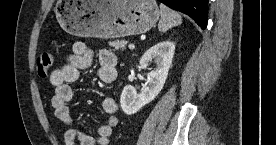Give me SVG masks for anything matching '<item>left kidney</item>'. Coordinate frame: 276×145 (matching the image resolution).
<instances>
[{"mask_svg": "<svg viewBox=\"0 0 276 145\" xmlns=\"http://www.w3.org/2000/svg\"><path fill=\"white\" fill-rule=\"evenodd\" d=\"M175 53V44L171 41H162L149 48L141 57V68L147 67L152 61L156 66L150 73L147 85L138 94L136 89L127 85L124 87L120 104L127 115L137 113L143 106L153 101L162 90Z\"/></svg>", "mask_w": 276, "mask_h": 145, "instance_id": "1", "label": "left kidney"}]
</instances>
